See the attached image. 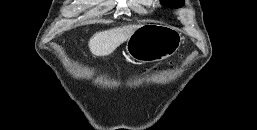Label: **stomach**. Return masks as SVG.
Returning <instances> with one entry per match:
<instances>
[{"label": "stomach", "mask_w": 257, "mask_h": 130, "mask_svg": "<svg viewBox=\"0 0 257 130\" xmlns=\"http://www.w3.org/2000/svg\"><path fill=\"white\" fill-rule=\"evenodd\" d=\"M181 33L172 26L160 22H148L137 27L129 36L126 51L141 63L162 61L180 48Z\"/></svg>", "instance_id": "0dacf381"}]
</instances>
